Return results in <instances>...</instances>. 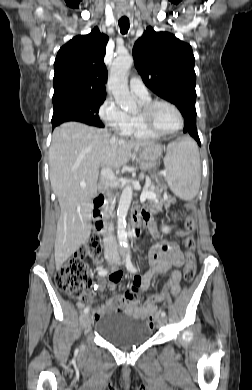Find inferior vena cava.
Returning a JSON list of instances; mask_svg holds the SVG:
<instances>
[{"instance_id":"obj_1","label":"inferior vena cava","mask_w":252,"mask_h":390,"mask_svg":"<svg viewBox=\"0 0 252 390\" xmlns=\"http://www.w3.org/2000/svg\"><path fill=\"white\" fill-rule=\"evenodd\" d=\"M101 176L106 178L107 180H113L115 178L112 169H110L109 167L102 168ZM108 196H109V194H108ZM103 242H104V248H105L106 253L107 252H113V253L117 252V241H116L115 236L113 235V227L111 225L108 227L107 231L104 233Z\"/></svg>"}]
</instances>
